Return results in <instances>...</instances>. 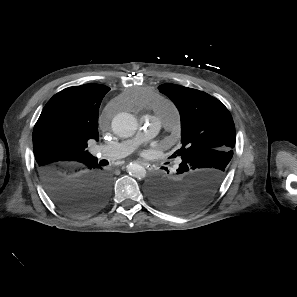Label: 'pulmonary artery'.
Masks as SVG:
<instances>
[{
    "label": "pulmonary artery",
    "instance_id": "pulmonary-artery-1",
    "mask_svg": "<svg viewBox=\"0 0 297 297\" xmlns=\"http://www.w3.org/2000/svg\"><path fill=\"white\" fill-rule=\"evenodd\" d=\"M178 112L171 103H166L159 108L156 116L143 118L138 134L130 140L109 145H98L93 152L103 157L115 160L128 156L141 143L152 138L161 127H170L177 120Z\"/></svg>",
    "mask_w": 297,
    "mask_h": 297
}]
</instances>
